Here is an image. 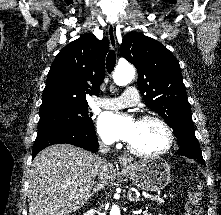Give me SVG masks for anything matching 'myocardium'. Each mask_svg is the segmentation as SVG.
I'll use <instances>...</instances> for the list:
<instances>
[{
  "label": "myocardium",
  "mask_w": 221,
  "mask_h": 215,
  "mask_svg": "<svg viewBox=\"0 0 221 215\" xmlns=\"http://www.w3.org/2000/svg\"><path fill=\"white\" fill-rule=\"evenodd\" d=\"M138 121L139 122L154 121V122H157L158 124H160L166 134V144L162 149H160L158 151L142 152V151H139L136 148H134L129 143L127 147H128V150L132 154H134L138 157H142V158H154V157L161 156L171 150V148L173 147V144H174V134H173V131H172L171 127L169 126V124L163 118H161L157 115H143L139 118Z\"/></svg>",
  "instance_id": "obj_1"
}]
</instances>
